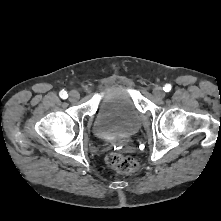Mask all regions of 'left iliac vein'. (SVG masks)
<instances>
[{
	"mask_svg": "<svg viewBox=\"0 0 221 221\" xmlns=\"http://www.w3.org/2000/svg\"><path fill=\"white\" fill-rule=\"evenodd\" d=\"M153 94L157 98H163L165 96V92L163 91L162 87H160V86H155L154 87Z\"/></svg>",
	"mask_w": 221,
	"mask_h": 221,
	"instance_id": "left-iliac-vein-1",
	"label": "left iliac vein"
}]
</instances>
